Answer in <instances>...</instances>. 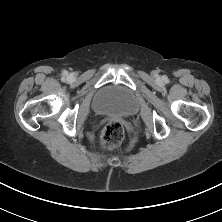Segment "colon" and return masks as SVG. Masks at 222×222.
I'll use <instances>...</instances> for the list:
<instances>
[{
	"instance_id": "obj_1",
	"label": "colon",
	"mask_w": 222,
	"mask_h": 222,
	"mask_svg": "<svg viewBox=\"0 0 222 222\" xmlns=\"http://www.w3.org/2000/svg\"><path fill=\"white\" fill-rule=\"evenodd\" d=\"M125 137L123 124L118 120L109 121L103 129L101 144L103 147L111 149L122 143Z\"/></svg>"
}]
</instances>
